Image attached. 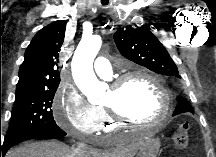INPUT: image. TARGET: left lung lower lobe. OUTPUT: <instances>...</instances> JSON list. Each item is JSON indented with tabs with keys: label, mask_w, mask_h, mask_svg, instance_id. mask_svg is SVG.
Instances as JSON below:
<instances>
[{
	"label": "left lung lower lobe",
	"mask_w": 216,
	"mask_h": 157,
	"mask_svg": "<svg viewBox=\"0 0 216 157\" xmlns=\"http://www.w3.org/2000/svg\"><path fill=\"white\" fill-rule=\"evenodd\" d=\"M187 104L189 103H183L181 105H177L175 110H174V113L173 115H177V114H181V113H185V112H190L189 108L187 107Z\"/></svg>",
	"instance_id": "left-lung-lower-lobe-1"
}]
</instances>
